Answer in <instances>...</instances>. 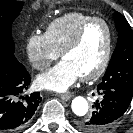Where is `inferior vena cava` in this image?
I'll return each instance as SVG.
<instances>
[{
	"label": "inferior vena cava",
	"instance_id": "inferior-vena-cava-1",
	"mask_svg": "<svg viewBox=\"0 0 133 133\" xmlns=\"http://www.w3.org/2000/svg\"><path fill=\"white\" fill-rule=\"evenodd\" d=\"M48 68V62L47 61H42L40 63V69Z\"/></svg>",
	"mask_w": 133,
	"mask_h": 133
}]
</instances>
